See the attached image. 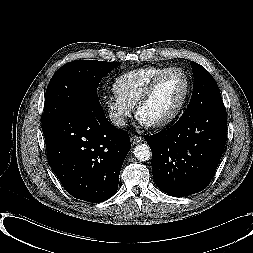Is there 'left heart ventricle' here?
<instances>
[{
  "mask_svg": "<svg viewBox=\"0 0 253 253\" xmlns=\"http://www.w3.org/2000/svg\"><path fill=\"white\" fill-rule=\"evenodd\" d=\"M185 83L179 73L167 75L157 87L151 100L142 108L139 116L149 122H157L171 114L179 104Z\"/></svg>",
  "mask_w": 253,
  "mask_h": 253,
  "instance_id": "obj_1",
  "label": "left heart ventricle"
}]
</instances>
